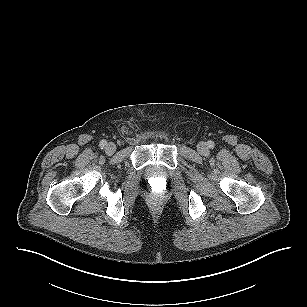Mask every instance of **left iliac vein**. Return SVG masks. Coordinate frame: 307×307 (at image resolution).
Wrapping results in <instances>:
<instances>
[{"label":"left iliac vein","mask_w":307,"mask_h":307,"mask_svg":"<svg viewBox=\"0 0 307 307\" xmlns=\"http://www.w3.org/2000/svg\"><path fill=\"white\" fill-rule=\"evenodd\" d=\"M197 151L201 155H206L209 152L207 144L205 142H199L197 145Z\"/></svg>","instance_id":"1"}]
</instances>
